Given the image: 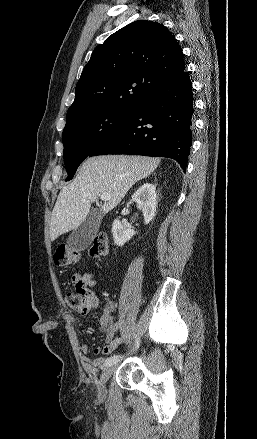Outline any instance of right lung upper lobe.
Returning a JSON list of instances; mask_svg holds the SVG:
<instances>
[{"instance_id":"cb5924a9","label":"right lung upper lobe","mask_w":257,"mask_h":439,"mask_svg":"<svg viewBox=\"0 0 257 439\" xmlns=\"http://www.w3.org/2000/svg\"><path fill=\"white\" fill-rule=\"evenodd\" d=\"M184 68L180 46L166 27L147 20L132 22L93 51L66 120L102 108L136 109Z\"/></svg>"}]
</instances>
